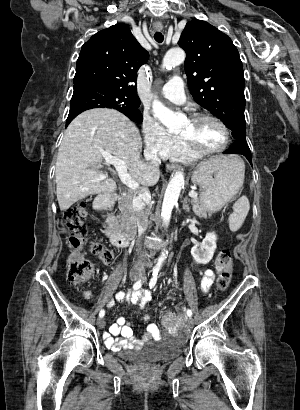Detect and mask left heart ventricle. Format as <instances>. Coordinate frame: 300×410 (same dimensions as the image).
Instances as JSON below:
<instances>
[{"mask_svg": "<svg viewBox=\"0 0 300 410\" xmlns=\"http://www.w3.org/2000/svg\"><path fill=\"white\" fill-rule=\"evenodd\" d=\"M179 135L190 138L198 148L206 151L219 148L225 140L222 128L212 120L196 123L188 120Z\"/></svg>", "mask_w": 300, "mask_h": 410, "instance_id": "obj_1", "label": "left heart ventricle"}]
</instances>
